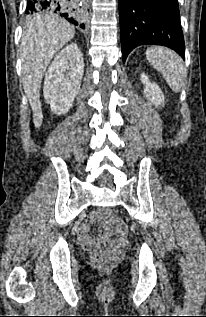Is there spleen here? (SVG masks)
<instances>
[{
	"label": "spleen",
	"mask_w": 206,
	"mask_h": 317,
	"mask_svg": "<svg viewBox=\"0 0 206 317\" xmlns=\"http://www.w3.org/2000/svg\"><path fill=\"white\" fill-rule=\"evenodd\" d=\"M149 63L162 73L174 92H179L184 80V67L181 58L164 47H151L146 51Z\"/></svg>",
	"instance_id": "obj_1"
}]
</instances>
